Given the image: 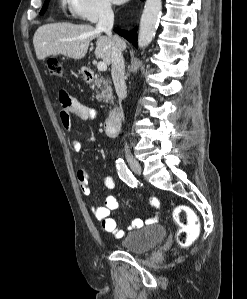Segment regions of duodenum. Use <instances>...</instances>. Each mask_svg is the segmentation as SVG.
Returning <instances> with one entry per match:
<instances>
[{"mask_svg": "<svg viewBox=\"0 0 247 299\" xmlns=\"http://www.w3.org/2000/svg\"><path fill=\"white\" fill-rule=\"evenodd\" d=\"M84 74L87 80L92 79L93 73L89 68H84ZM120 118H121V113L119 108L117 107L113 108L110 111V113L107 115L104 122V128L107 135L115 136L117 134L120 127Z\"/></svg>", "mask_w": 247, "mask_h": 299, "instance_id": "1", "label": "duodenum"}]
</instances>
